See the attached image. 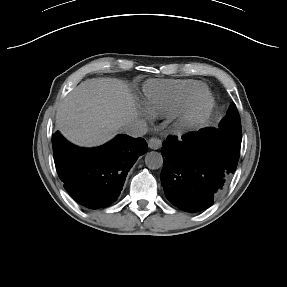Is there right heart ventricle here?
<instances>
[{
  "label": "right heart ventricle",
  "instance_id": "right-heart-ventricle-1",
  "mask_svg": "<svg viewBox=\"0 0 287 287\" xmlns=\"http://www.w3.org/2000/svg\"><path fill=\"white\" fill-rule=\"evenodd\" d=\"M207 89L196 80H150L143 87L146 110L155 116L176 114L195 93Z\"/></svg>",
  "mask_w": 287,
  "mask_h": 287
}]
</instances>
